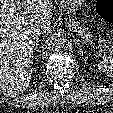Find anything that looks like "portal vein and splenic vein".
<instances>
[{
  "instance_id": "portal-vein-and-splenic-vein-1",
  "label": "portal vein and splenic vein",
  "mask_w": 113,
  "mask_h": 113,
  "mask_svg": "<svg viewBox=\"0 0 113 113\" xmlns=\"http://www.w3.org/2000/svg\"><path fill=\"white\" fill-rule=\"evenodd\" d=\"M17 9H18L20 17H22V16H24L26 14V12L23 11L20 6H18Z\"/></svg>"
}]
</instances>
